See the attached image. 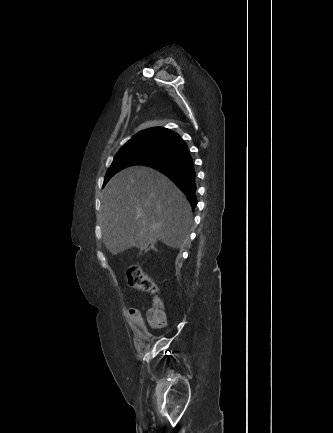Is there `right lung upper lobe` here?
<instances>
[{
  "label": "right lung upper lobe",
  "mask_w": 333,
  "mask_h": 433,
  "mask_svg": "<svg viewBox=\"0 0 333 433\" xmlns=\"http://www.w3.org/2000/svg\"><path fill=\"white\" fill-rule=\"evenodd\" d=\"M180 139L175 132L162 128V127H154L149 128L144 131L139 132L134 137H132L124 146H132L146 142L158 143L163 146L167 145L172 140Z\"/></svg>",
  "instance_id": "obj_1"
}]
</instances>
